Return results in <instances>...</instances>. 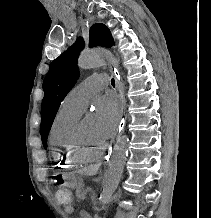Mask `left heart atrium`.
Returning a JSON list of instances; mask_svg holds the SVG:
<instances>
[{"label":"left heart atrium","instance_id":"left-heart-atrium-1","mask_svg":"<svg viewBox=\"0 0 211 218\" xmlns=\"http://www.w3.org/2000/svg\"><path fill=\"white\" fill-rule=\"evenodd\" d=\"M96 112L95 127L105 140L117 130L120 121V110L117 99L111 93L98 97L94 103Z\"/></svg>","mask_w":211,"mask_h":218}]
</instances>
